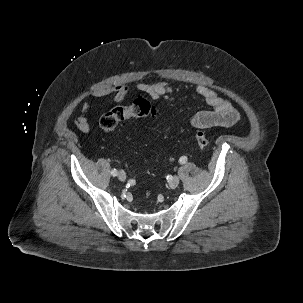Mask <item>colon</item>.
I'll use <instances>...</instances> for the list:
<instances>
[{
	"label": "colon",
	"mask_w": 303,
	"mask_h": 303,
	"mask_svg": "<svg viewBox=\"0 0 303 303\" xmlns=\"http://www.w3.org/2000/svg\"><path fill=\"white\" fill-rule=\"evenodd\" d=\"M156 115V108L147 99L139 97L135 99L130 105L116 106L106 113H104L99 121V126L104 132H112L124 120L138 117H154ZM195 140L197 144L205 148L210 144V139L202 131L195 132Z\"/></svg>",
	"instance_id": "5ec220e1"
}]
</instances>
